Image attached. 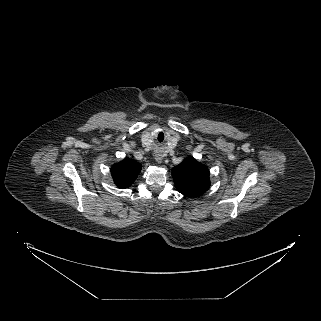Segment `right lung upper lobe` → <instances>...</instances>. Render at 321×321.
Instances as JSON below:
<instances>
[{
    "label": "right lung upper lobe",
    "mask_w": 321,
    "mask_h": 321,
    "mask_svg": "<svg viewBox=\"0 0 321 321\" xmlns=\"http://www.w3.org/2000/svg\"><path fill=\"white\" fill-rule=\"evenodd\" d=\"M141 167V164L129 158L114 164L111 174L115 184L119 188H128L137 178Z\"/></svg>",
    "instance_id": "1"
}]
</instances>
